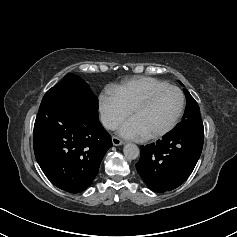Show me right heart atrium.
Returning <instances> with one entry per match:
<instances>
[{"mask_svg": "<svg viewBox=\"0 0 237 237\" xmlns=\"http://www.w3.org/2000/svg\"><path fill=\"white\" fill-rule=\"evenodd\" d=\"M99 111L103 126L109 130L117 128L129 114V110L110 89L99 96Z\"/></svg>", "mask_w": 237, "mask_h": 237, "instance_id": "d8ad5b80", "label": "right heart atrium"}]
</instances>
